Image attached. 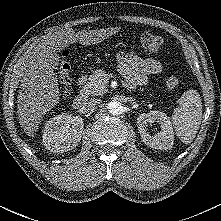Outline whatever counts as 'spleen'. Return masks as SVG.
I'll return each instance as SVG.
<instances>
[{
	"label": "spleen",
	"instance_id": "spleen-1",
	"mask_svg": "<svg viewBox=\"0 0 221 221\" xmlns=\"http://www.w3.org/2000/svg\"><path fill=\"white\" fill-rule=\"evenodd\" d=\"M202 118V102L199 93L189 89L183 93L179 105L174 109L172 124L179 139L191 143L199 130Z\"/></svg>",
	"mask_w": 221,
	"mask_h": 221
}]
</instances>
